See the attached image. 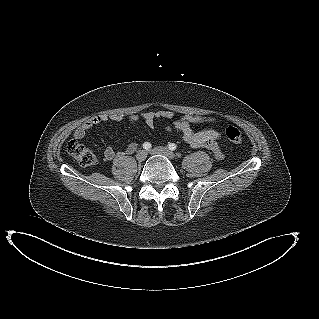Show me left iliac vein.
<instances>
[{"label": "left iliac vein", "mask_w": 319, "mask_h": 319, "mask_svg": "<svg viewBox=\"0 0 319 319\" xmlns=\"http://www.w3.org/2000/svg\"><path fill=\"white\" fill-rule=\"evenodd\" d=\"M151 153L155 154V155H163V156H166L169 159H174L175 158V154L172 151H170L167 148H165V147H155V148H153L151 150Z\"/></svg>", "instance_id": "4c4485c4"}]
</instances>
